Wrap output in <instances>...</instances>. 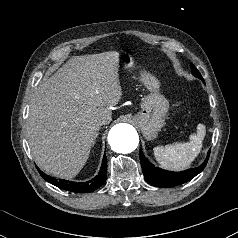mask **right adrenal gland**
<instances>
[{
	"instance_id": "right-adrenal-gland-1",
	"label": "right adrenal gland",
	"mask_w": 238,
	"mask_h": 238,
	"mask_svg": "<svg viewBox=\"0 0 238 238\" xmlns=\"http://www.w3.org/2000/svg\"><path fill=\"white\" fill-rule=\"evenodd\" d=\"M98 135H99V129H98V131H97V133H96V136H95V140H94V142H93V145L95 144Z\"/></svg>"
}]
</instances>
